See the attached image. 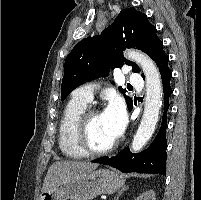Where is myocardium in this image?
Returning <instances> with one entry per match:
<instances>
[{
  "label": "myocardium",
  "instance_id": "myocardium-1",
  "mask_svg": "<svg viewBox=\"0 0 201 200\" xmlns=\"http://www.w3.org/2000/svg\"><path fill=\"white\" fill-rule=\"evenodd\" d=\"M101 110L98 108L89 107L87 108L82 115L79 117L76 126H75V142L77 147L85 154V155H103L112 152L116 146L117 141L115 140L109 146L102 149H94L90 147L87 142L86 134L87 127L90 120L96 116L101 114Z\"/></svg>",
  "mask_w": 201,
  "mask_h": 200
}]
</instances>
